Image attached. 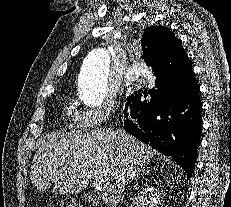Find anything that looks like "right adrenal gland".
I'll return each mask as SVG.
<instances>
[{"mask_svg": "<svg viewBox=\"0 0 231 207\" xmlns=\"http://www.w3.org/2000/svg\"><path fill=\"white\" fill-rule=\"evenodd\" d=\"M146 170H145V167H143V170H142V172H145ZM137 179H138V176L136 177V181H137Z\"/></svg>", "mask_w": 231, "mask_h": 207, "instance_id": "obj_1", "label": "right adrenal gland"}]
</instances>
